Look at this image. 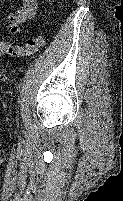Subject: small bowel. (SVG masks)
Masks as SVG:
<instances>
[{
  "label": "small bowel",
  "instance_id": "small-bowel-1",
  "mask_svg": "<svg viewBox=\"0 0 123 201\" xmlns=\"http://www.w3.org/2000/svg\"><path fill=\"white\" fill-rule=\"evenodd\" d=\"M37 11L36 0H21L17 10L9 13L7 16V30L11 34H17L20 31L21 24L33 18Z\"/></svg>",
  "mask_w": 123,
  "mask_h": 201
}]
</instances>
